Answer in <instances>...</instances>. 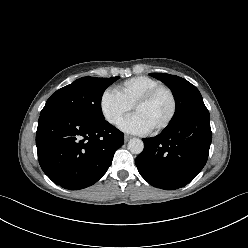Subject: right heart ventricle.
Here are the masks:
<instances>
[{
	"label": "right heart ventricle",
	"mask_w": 248,
	"mask_h": 248,
	"mask_svg": "<svg viewBox=\"0 0 248 248\" xmlns=\"http://www.w3.org/2000/svg\"><path fill=\"white\" fill-rule=\"evenodd\" d=\"M159 86H161L160 82L153 78L136 76L116 85L114 92L132 107L140 97Z\"/></svg>",
	"instance_id": "e07e8e85"
}]
</instances>
